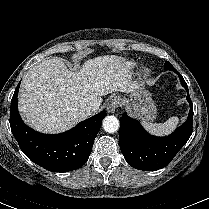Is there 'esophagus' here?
<instances>
[{"mask_svg":"<svg viewBox=\"0 0 209 209\" xmlns=\"http://www.w3.org/2000/svg\"><path fill=\"white\" fill-rule=\"evenodd\" d=\"M120 104L121 102L118 97L112 98L107 106L108 113H114L116 109L120 106Z\"/></svg>","mask_w":209,"mask_h":209,"instance_id":"esophagus-1","label":"esophagus"}]
</instances>
